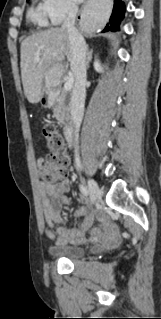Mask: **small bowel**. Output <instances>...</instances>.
I'll use <instances>...</instances> for the list:
<instances>
[{
    "instance_id": "obj_1",
    "label": "small bowel",
    "mask_w": 161,
    "mask_h": 319,
    "mask_svg": "<svg viewBox=\"0 0 161 319\" xmlns=\"http://www.w3.org/2000/svg\"><path fill=\"white\" fill-rule=\"evenodd\" d=\"M43 159L38 160V164L42 165ZM42 187V205L43 212L47 223L52 226L55 223H62L63 220L60 216L59 209L62 204H69L70 201L67 197V193L70 191V184L67 180H62L58 183L43 182ZM76 215H85L83 225L75 230H67L64 227L58 228V236L56 237L49 230H46V234L51 239H58L62 243L80 244L86 241L85 233L89 230L96 218L101 221L100 227H94L90 230L91 239H115L117 235L116 225L104 217L102 211L89 212L86 207L79 208Z\"/></svg>"
}]
</instances>
